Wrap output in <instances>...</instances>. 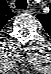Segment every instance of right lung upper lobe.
<instances>
[{"instance_id":"cb5924a9","label":"right lung upper lobe","mask_w":51,"mask_h":74,"mask_svg":"<svg viewBox=\"0 0 51 74\" xmlns=\"http://www.w3.org/2000/svg\"><path fill=\"white\" fill-rule=\"evenodd\" d=\"M3 26L6 24V22L11 19L15 14L9 9V7L6 5V7H3Z\"/></svg>"}]
</instances>
